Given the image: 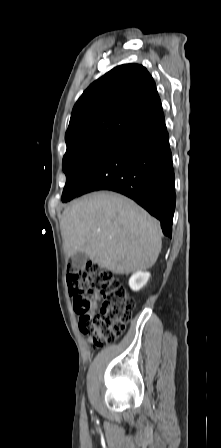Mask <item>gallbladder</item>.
I'll return each instance as SVG.
<instances>
[{
	"label": "gallbladder",
	"instance_id": "1",
	"mask_svg": "<svg viewBox=\"0 0 221 448\" xmlns=\"http://www.w3.org/2000/svg\"><path fill=\"white\" fill-rule=\"evenodd\" d=\"M88 256L84 252H77L72 256V264L73 267L76 269H82L86 262H87Z\"/></svg>",
	"mask_w": 221,
	"mask_h": 448
}]
</instances>
